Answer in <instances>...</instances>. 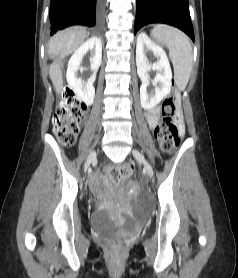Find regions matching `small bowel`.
I'll list each match as a JSON object with an SVG mask.
<instances>
[{"instance_id": "c3829d8e", "label": "small bowel", "mask_w": 238, "mask_h": 278, "mask_svg": "<svg viewBox=\"0 0 238 278\" xmlns=\"http://www.w3.org/2000/svg\"><path fill=\"white\" fill-rule=\"evenodd\" d=\"M159 115H160L159 109H157V108H153V109H150L149 111H147L146 117H147V121L151 127H155L157 125L158 120H159Z\"/></svg>"}]
</instances>
